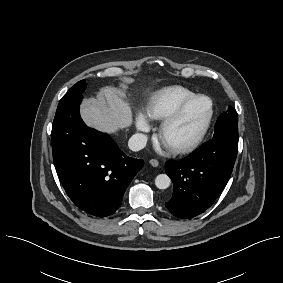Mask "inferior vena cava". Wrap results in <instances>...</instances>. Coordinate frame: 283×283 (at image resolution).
Here are the masks:
<instances>
[{
  "label": "inferior vena cava",
  "mask_w": 283,
  "mask_h": 283,
  "mask_svg": "<svg viewBox=\"0 0 283 283\" xmlns=\"http://www.w3.org/2000/svg\"><path fill=\"white\" fill-rule=\"evenodd\" d=\"M147 136L141 133H136L131 136L128 141V146L132 151H139L146 146Z\"/></svg>",
  "instance_id": "1"
}]
</instances>
